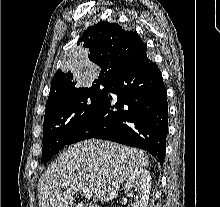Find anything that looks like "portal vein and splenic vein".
I'll return each instance as SVG.
<instances>
[{"instance_id":"obj_1","label":"portal vein and splenic vein","mask_w":220,"mask_h":207,"mask_svg":"<svg viewBox=\"0 0 220 207\" xmlns=\"http://www.w3.org/2000/svg\"><path fill=\"white\" fill-rule=\"evenodd\" d=\"M76 186L77 189L82 192V195L85 197V198H88L90 199L93 195V192L90 191V189L86 186H84L83 184H81L80 182L74 180V181H67L64 186L68 187V186Z\"/></svg>"}]
</instances>
